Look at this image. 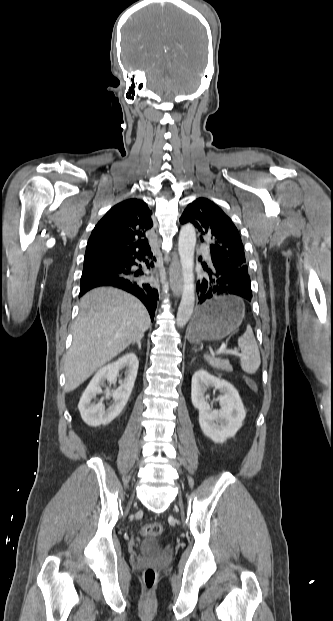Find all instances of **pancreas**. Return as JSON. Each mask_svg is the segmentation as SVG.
I'll return each instance as SVG.
<instances>
[{
  "label": "pancreas",
  "instance_id": "obj_1",
  "mask_svg": "<svg viewBox=\"0 0 333 621\" xmlns=\"http://www.w3.org/2000/svg\"><path fill=\"white\" fill-rule=\"evenodd\" d=\"M207 362L214 368L218 370H223L227 372H232V366L229 363L228 359L223 358H215L213 356L206 357Z\"/></svg>",
  "mask_w": 333,
  "mask_h": 621
}]
</instances>
